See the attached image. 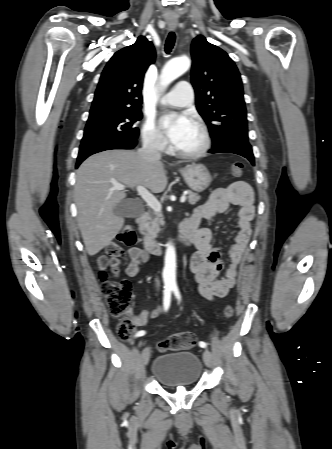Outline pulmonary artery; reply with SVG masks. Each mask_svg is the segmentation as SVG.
<instances>
[{"instance_id":"1","label":"pulmonary artery","mask_w":332,"mask_h":449,"mask_svg":"<svg viewBox=\"0 0 332 449\" xmlns=\"http://www.w3.org/2000/svg\"><path fill=\"white\" fill-rule=\"evenodd\" d=\"M194 91L187 81H179L174 88L166 94L161 102L174 107H185L193 101Z\"/></svg>"}]
</instances>
